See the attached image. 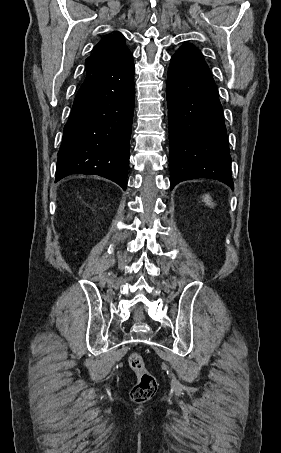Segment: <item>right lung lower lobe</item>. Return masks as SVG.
Segmentation results:
<instances>
[{
  "label": "right lung lower lobe",
  "instance_id": "right-lung-lower-lobe-1",
  "mask_svg": "<svg viewBox=\"0 0 281 453\" xmlns=\"http://www.w3.org/2000/svg\"><path fill=\"white\" fill-rule=\"evenodd\" d=\"M134 97L130 51L86 76L64 127L55 182L75 173L93 174L126 190Z\"/></svg>",
  "mask_w": 281,
  "mask_h": 453
}]
</instances>
